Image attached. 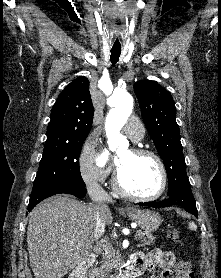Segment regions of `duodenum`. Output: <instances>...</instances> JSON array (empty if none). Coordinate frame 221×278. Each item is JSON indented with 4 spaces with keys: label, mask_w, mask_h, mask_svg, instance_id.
Wrapping results in <instances>:
<instances>
[{
    "label": "duodenum",
    "mask_w": 221,
    "mask_h": 278,
    "mask_svg": "<svg viewBox=\"0 0 221 278\" xmlns=\"http://www.w3.org/2000/svg\"><path fill=\"white\" fill-rule=\"evenodd\" d=\"M91 263L92 258H87L75 268L68 278H88L87 270L89 269ZM141 272L142 271L137 267L136 261L131 259L125 270V273L121 276V278H136L141 274Z\"/></svg>",
    "instance_id": "obj_1"
}]
</instances>
